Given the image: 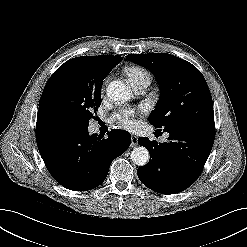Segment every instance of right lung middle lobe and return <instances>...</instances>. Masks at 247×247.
<instances>
[{"instance_id":"1","label":"right lung middle lobe","mask_w":247,"mask_h":247,"mask_svg":"<svg viewBox=\"0 0 247 247\" xmlns=\"http://www.w3.org/2000/svg\"><path fill=\"white\" fill-rule=\"evenodd\" d=\"M105 77L94 72L78 57L61 65L50 77L40 98L38 114L63 122L88 127L101 105Z\"/></svg>"}]
</instances>
